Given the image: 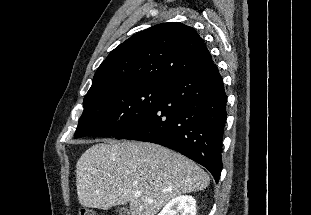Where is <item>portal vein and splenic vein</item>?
I'll return each mask as SVG.
<instances>
[{
  "label": "portal vein and splenic vein",
  "instance_id": "1",
  "mask_svg": "<svg viewBox=\"0 0 311 215\" xmlns=\"http://www.w3.org/2000/svg\"><path fill=\"white\" fill-rule=\"evenodd\" d=\"M140 195H141V193H140L139 191H135V192H134V196H135V197H139Z\"/></svg>",
  "mask_w": 311,
  "mask_h": 215
}]
</instances>
